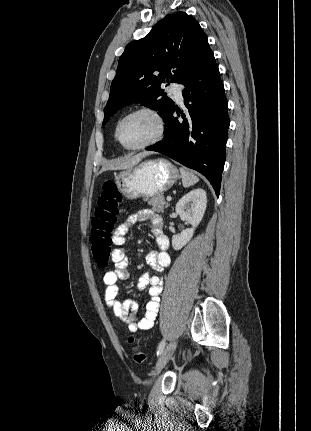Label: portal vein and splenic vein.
Masks as SVG:
<instances>
[{
	"label": "portal vein and splenic vein",
	"mask_w": 311,
	"mask_h": 431,
	"mask_svg": "<svg viewBox=\"0 0 311 431\" xmlns=\"http://www.w3.org/2000/svg\"><path fill=\"white\" fill-rule=\"evenodd\" d=\"M166 200H167V202H171V200H172L171 196H167Z\"/></svg>",
	"instance_id": "18ae733b"
}]
</instances>
